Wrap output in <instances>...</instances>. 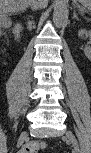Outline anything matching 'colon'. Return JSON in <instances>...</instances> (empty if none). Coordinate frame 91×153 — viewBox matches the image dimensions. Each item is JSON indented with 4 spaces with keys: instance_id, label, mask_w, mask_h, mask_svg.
<instances>
[{
    "instance_id": "1",
    "label": "colon",
    "mask_w": 91,
    "mask_h": 153,
    "mask_svg": "<svg viewBox=\"0 0 91 153\" xmlns=\"http://www.w3.org/2000/svg\"><path fill=\"white\" fill-rule=\"evenodd\" d=\"M2 25L7 27L9 22L6 18H2ZM45 148V144L41 141H29L21 149V153H36Z\"/></svg>"
}]
</instances>
